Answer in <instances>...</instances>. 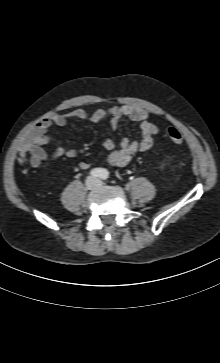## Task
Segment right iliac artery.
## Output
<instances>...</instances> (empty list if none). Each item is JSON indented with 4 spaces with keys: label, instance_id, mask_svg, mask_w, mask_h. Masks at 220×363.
Listing matches in <instances>:
<instances>
[{
    "label": "right iliac artery",
    "instance_id": "82829eb1",
    "mask_svg": "<svg viewBox=\"0 0 220 363\" xmlns=\"http://www.w3.org/2000/svg\"><path fill=\"white\" fill-rule=\"evenodd\" d=\"M101 173H102V169H100V168H95V169L91 170V172H90V174L93 177H101Z\"/></svg>",
    "mask_w": 220,
    "mask_h": 363
}]
</instances>
